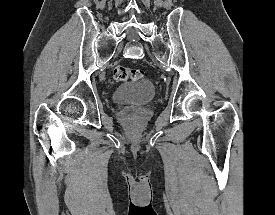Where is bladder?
I'll list each match as a JSON object with an SVG mask.
<instances>
[{"label":"bladder","instance_id":"obj_1","mask_svg":"<svg viewBox=\"0 0 275 215\" xmlns=\"http://www.w3.org/2000/svg\"><path fill=\"white\" fill-rule=\"evenodd\" d=\"M155 96V87L149 80L139 79L117 87L112 93V100L119 104L144 105Z\"/></svg>","mask_w":275,"mask_h":215}]
</instances>
